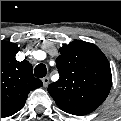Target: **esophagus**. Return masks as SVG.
I'll use <instances>...</instances> for the list:
<instances>
[{"label":"esophagus","mask_w":121,"mask_h":121,"mask_svg":"<svg viewBox=\"0 0 121 121\" xmlns=\"http://www.w3.org/2000/svg\"><path fill=\"white\" fill-rule=\"evenodd\" d=\"M43 86L46 88L49 84V77L42 78Z\"/></svg>","instance_id":"1"}]
</instances>
